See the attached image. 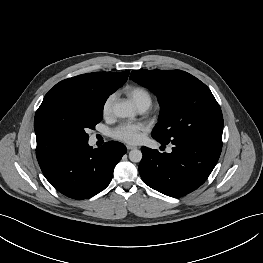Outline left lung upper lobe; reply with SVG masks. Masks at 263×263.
Listing matches in <instances>:
<instances>
[{
  "mask_svg": "<svg viewBox=\"0 0 263 263\" xmlns=\"http://www.w3.org/2000/svg\"><path fill=\"white\" fill-rule=\"evenodd\" d=\"M130 79L158 97L161 110L152 131L158 142L222 139L220 106L210 89L196 77L181 70H135Z\"/></svg>",
  "mask_w": 263,
  "mask_h": 263,
  "instance_id": "obj_1",
  "label": "left lung upper lobe"
}]
</instances>
